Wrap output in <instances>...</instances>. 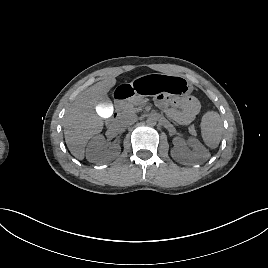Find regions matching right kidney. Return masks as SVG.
Here are the masks:
<instances>
[{
    "instance_id": "ca27d5eb",
    "label": "right kidney",
    "mask_w": 268,
    "mask_h": 268,
    "mask_svg": "<svg viewBox=\"0 0 268 268\" xmlns=\"http://www.w3.org/2000/svg\"><path fill=\"white\" fill-rule=\"evenodd\" d=\"M120 154L118 143L106 144L102 135H97L88 143L86 158L91 163L103 165L114 160Z\"/></svg>"
}]
</instances>
